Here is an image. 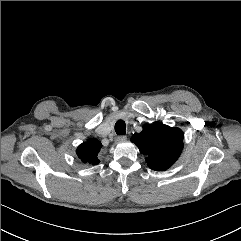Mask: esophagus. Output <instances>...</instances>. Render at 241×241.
Instances as JSON below:
<instances>
[{
    "instance_id": "esophagus-1",
    "label": "esophagus",
    "mask_w": 241,
    "mask_h": 241,
    "mask_svg": "<svg viewBox=\"0 0 241 241\" xmlns=\"http://www.w3.org/2000/svg\"><path fill=\"white\" fill-rule=\"evenodd\" d=\"M126 139H127V136H125V135H121V136L116 137L117 142L125 141Z\"/></svg>"
}]
</instances>
